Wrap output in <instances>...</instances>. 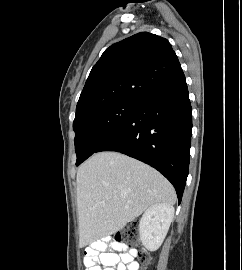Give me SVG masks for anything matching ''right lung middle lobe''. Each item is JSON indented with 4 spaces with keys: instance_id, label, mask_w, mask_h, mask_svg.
Here are the masks:
<instances>
[{
    "instance_id": "right-lung-middle-lobe-1",
    "label": "right lung middle lobe",
    "mask_w": 242,
    "mask_h": 270,
    "mask_svg": "<svg viewBox=\"0 0 242 270\" xmlns=\"http://www.w3.org/2000/svg\"><path fill=\"white\" fill-rule=\"evenodd\" d=\"M136 101L118 100L106 103L75 116L76 164L91 156L125 121Z\"/></svg>"
}]
</instances>
